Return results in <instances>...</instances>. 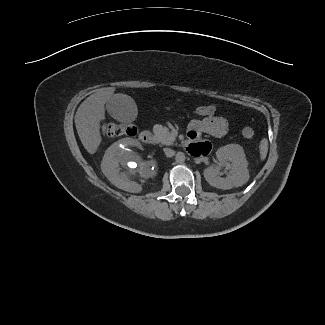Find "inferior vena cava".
Returning a JSON list of instances; mask_svg holds the SVG:
<instances>
[{
  "mask_svg": "<svg viewBox=\"0 0 325 325\" xmlns=\"http://www.w3.org/2000/svg\"><path fill=\"white\" fill-rule=\"evenodd\" d=\"M164 153L167 157H173L175 155L174 150L170 148H164Z\"/></svg>",
  "mask_w": 325,
  "mask_h": 325,
  "instance_id": "1",
  "label": "inferior vena cava"
}]
</instances>
